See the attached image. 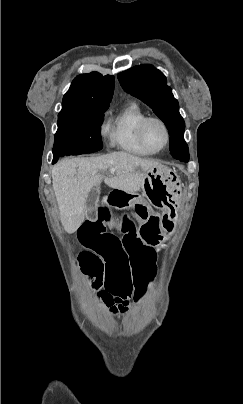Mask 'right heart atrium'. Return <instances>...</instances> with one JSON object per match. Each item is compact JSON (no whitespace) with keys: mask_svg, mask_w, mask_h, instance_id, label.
Here are the masks:
<instances>
[{"mask_svg":"<svg viewBox=\"0 0 243 404\" xmlns=\"http://www.w3.org/2000/svg\"><path fill=\"white\" fill-rule=\"evenodd\" d=\"M98 135H99V138L102 141V143L107 148L114 147L112 128H111L110 121L108 119V113L107 112L104 113L102 119L99 122Z\"/></svg>","mask_w":243,"mask_h":404,"instance_id":"d8ad5b80","label":"right heart atrium"}]
</instances>
